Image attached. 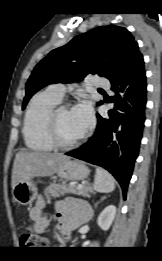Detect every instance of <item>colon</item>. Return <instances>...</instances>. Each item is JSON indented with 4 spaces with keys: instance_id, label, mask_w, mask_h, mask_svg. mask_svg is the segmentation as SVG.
Segmentation results:
<instances>
[{
    "instance_id": "obj_1",
    "label": "colon",
    "mask_w": 162,
    "mask_h": 261,
    "mask_svg": "<svg viewBox=\"0 0 162 261\" xmlns=\"http://www.w3.org/2000/svg\"><path fill=\"white\" fill-rule=\"evenodd\" d=\"M20 244L23 248H39L47 245L46 241L35 234L30 228L22 232Z\"/></svg>"
}]
</instances>
